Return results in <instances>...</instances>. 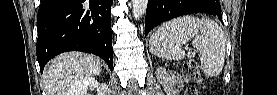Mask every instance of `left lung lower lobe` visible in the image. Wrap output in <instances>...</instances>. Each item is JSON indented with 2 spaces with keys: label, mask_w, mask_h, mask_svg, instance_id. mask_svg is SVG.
Instances as JSON below:
<instances>
[{
  "label": "left lung lower lobe",
  "mask_w": 277,
  "mask_h": 95,
  "mask_svg": "<svg viewBox=\"0 0 277 95\" xmlns=\"http://www.w3.org/2000/svg\"><path fill=\"white\" fill-rule=\"evenodd\" d=\"M204 1L209 0H149L146 11L145 36L160 23L185 14L205 12L215 15L221 20L220 3L213 4Z\"/></svg>",
  "instance_id": "obj_1"
}]
</instances>
